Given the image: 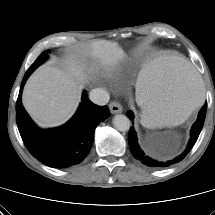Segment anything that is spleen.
<instances>
[{
	"label": "spleen",
	"instance_id": "3e777b00",
	"mask_svg": "<svg viewBox=\"0 0 215 215\" xmlns=\"http://www.w3.org/2000/svg\"><path fill=\"white\" fill-rule=\"evenodd\" d=\"M200 77L180 56H163L142 69L137 83L141 123L147 128L185 120L203 102Z\"/></svg>",
	"mask_w": 215,
	"mask_h": 215
}]
</instances>
